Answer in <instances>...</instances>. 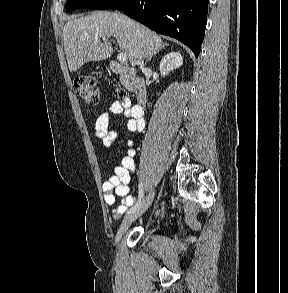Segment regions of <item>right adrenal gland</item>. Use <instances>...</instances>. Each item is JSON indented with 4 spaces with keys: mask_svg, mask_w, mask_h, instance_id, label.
I'll return each instance as SVG.
<instances>
[{
    "mask_svg": "<svg viewBox=\"0 0 288 293\" xmlns=\"http://www.w3.org/2000/svg\"><path fill=\"white\" fill-rule=\"evenodd\" d=\"M164 46H168V45H167V44H166V45L163 44V47H164ZM151 59H152V56L148 57L147 60H146V64H147L149 61H151Z\"/></svg>",
    "mask_w": 288,
    "mask_h": 293,
    "instance_id": "2a0ac1e0",
    "label": "right adrenal gland"
}]
</instances>
